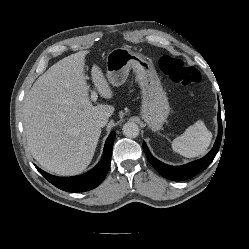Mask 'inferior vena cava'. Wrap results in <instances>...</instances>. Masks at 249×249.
<instances>
[{
	"mask_svg": "<svg viewBox=\"0 0 249 249\" xmlns=\"http://www.w3.org/2000/svg\"><path fill=\"white\" fill-rule=\"evenodd\" d=\"M108 122L107 117H100L99 119L96 120V125L100 128L104 127Z\"/></svg>",
	"mask_w": 249,
	"mask_h": 249,
	"instance_id": "602c4592",
	"label": "inferior vena cava"
}]
</instances>
